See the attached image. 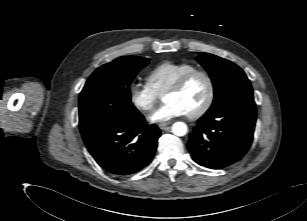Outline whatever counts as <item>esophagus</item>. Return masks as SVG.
Instances as JSON below:
<instances>
[{
    "instance_id": "obj_1",
    "label": "esophagus",
    "mask_w": 307,
    "mask_h": 221,
    "mask_svg": "<svg viewBox=\"0 0 307 221\" xmlns=\"http://www.w3.org/2000/svg\"><path fill=\"white\" fill-rule=\"evenodd\" d=\"M171 123L170 122H166V123H160L158 125V127L162 130L166 129Z\"/></svg>"
}]
</instances>
